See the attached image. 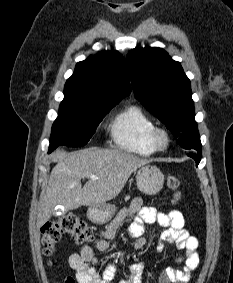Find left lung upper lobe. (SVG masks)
I'll use <instances>...</instances> for the list:
<instances>
[{
	"instance_id": "5c2ea615",
	"label": "left lung upper lobe",
	"mask_w": 233,
	"mask_h": 283,
	"mask_svg": "<svg viewBox=\"0 0 233 283\" xmlns=\"http://www.w3.org/2000/svg\"><path fill=\"white\" fill-rule=\"evenodd\" d=\"M136 98L166 124L177 143L201 153L190 80L161 48H135L126 57Z\"/></svg>"
}]
</instances>
